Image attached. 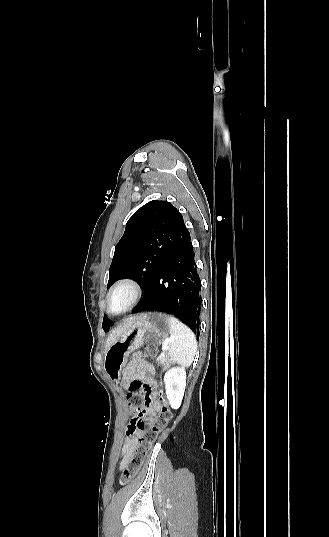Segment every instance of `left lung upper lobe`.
I'll return each instance as SVG.
<instances>
[{
  "mask_svg": "<svg viewBox=\"0 0 329 537\" xmlns=\"http://www.w3.org/2000/svg\"><path fill=\"white\" fill-rule=\"evenodd\" d=\"M188 236L182 214L171 203L148 202L128 220L116 245L108 288L119 279L134 278L141 283L145 294L160 266ZM112 324L104 316L103 329L107 331Z\"/></svg>",
  "mask_w": 329,
  "mask_h": 537,
  "instance_id": "obj_1",
  "label": "left lung upper lobe"
}]
</instances>
